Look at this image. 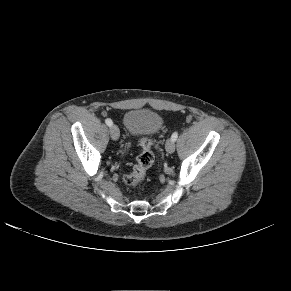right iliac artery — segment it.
Instances as JSON below:
<instances>
[{
    "label": "right iliac artery",
    "mask_w": 291,
    "mask_h": 291,
    "mask_svg": "<svg viewBox=\"0 0 291 291\" xmlns=\"http://www.w3.org/2000/svg\"><path fill=\"white\" fill-rule=\"evenodd\" d=\"M105 123H106L109 127H111V126L113 125L112 120L109 119V118H107V119L105 120Z\"/></svg>",
    "instance_id": "82829eb1"
}]
</instances>
